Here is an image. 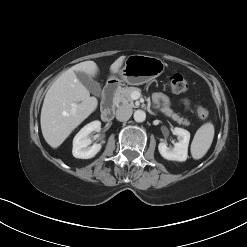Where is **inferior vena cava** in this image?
I'll return each instance as SVG.
<instances>
[{"mask_svg":"<svg viewBox=\"0 0 247 247\" xmlns=\"http://www.w3.org/2000/svg\"><path fill=\"white\" fill-rule=\"evenodd\" d=\"M132 108L128 105H123L120 106L117 110H116V119L119 121H127L129 120V118L132 115Z\"/></svg>","mask_w":247,"mask_h":247,"instance_id":"602c4592","label":"inferior vena cava"}]
</instances>
